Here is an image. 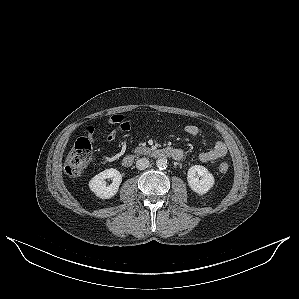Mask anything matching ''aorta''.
Instances as JSON below:
<instances>
[{
    "instance_id": "762f6f07",
    "label": "aorta",
    "mask_w": 299,
    "mask_h": 299,
    "mask_svg": "<svg viewBox=\"0 0 299 299\" xmlns=\"http://www.w3.org/2000/svg\"><path fill=\"white\" fill-rule=\"evenodd\" d=\"M156 166L159 169H165L167 167V160L165 158H158L156 161Z\"/></svg>"
}]
</instances>
